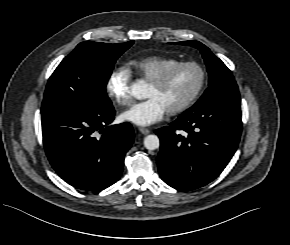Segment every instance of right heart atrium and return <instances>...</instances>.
Returning <instances> with one entry per match:
<instances>
[{
	"label": "right heart atrium",
	"instance_id": "1",
	"mask_svg": "<svg viewBox=\"0 0 290 245\" xmlns=\"http://www.w3.org/2000/svg\"><path fill=\"white\" fill-rule=\"evenodd\" d=\"M131 73L126 67L116 68L109 76L106 89L109 97L119 106L126 107L132 103Z\"/></svg>",
	"mask_w": 290,
	"mask_h": 245
}]
</instances>
